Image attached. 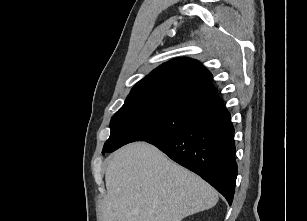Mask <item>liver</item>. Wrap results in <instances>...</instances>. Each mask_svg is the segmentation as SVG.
Returning <instances> with one entry per match:
<instances>
[{
    "label": "liver",
    "mask_w": 307,
    "mask_h": 221,
    "mask_svg": "<svg viewBox=\"0 0 307 221\" xmlns=\"http://www.w3.org/2000/svg\"><path fill=\"white\" fill-rule=\"evenodd\" d=\"M105 182L103 221H181L218 201L212 186L145 142L110 155Z\"/></svg>",
    "instance_id": "1"
}]
</instances>
